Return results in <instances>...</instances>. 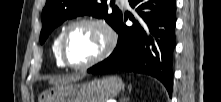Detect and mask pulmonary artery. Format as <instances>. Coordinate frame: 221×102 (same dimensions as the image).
<instances>
[{"label": "pulmonary artery", "instance_id": "obj_1", "mask_svg": "<svg viewBox=\"0 0 221 102\" xmlns=\"http://www.w3.org/2000/svg\"><path fill=\"white\" fill-rule=\"evenodd\" d=\"M121 3L125 6H128V0H121Z\"/></svg>", "mask_w": 221, "mask_h": 102}]
</instances>
